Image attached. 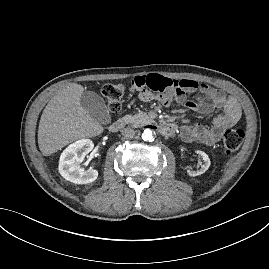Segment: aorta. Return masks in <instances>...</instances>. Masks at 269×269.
Here are the masks:
<instances>
[{
  "instance_id": "aorta-1",
  "label": "aorta",
  "mask_w": 269,
  "mask_h": 269,
  "mask_svg": "<svg viewBox=\"0 0 269 269\" xmlns=\"http://www.w3.org/2000/svg\"><path fill=\"white\" fill-rule=\"evenodd\" d=\"M142 139L144 141H153L154 140V136H153V131L149 128L145 129L142 133Z\"/></svg>"
}]
</instances>
